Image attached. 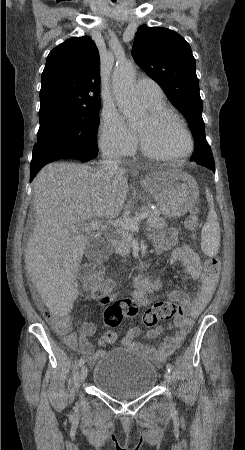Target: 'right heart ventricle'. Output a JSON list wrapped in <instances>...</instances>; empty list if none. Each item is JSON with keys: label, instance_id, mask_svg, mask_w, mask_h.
<instances>
[{"label": "right heart ventricle", "instance_id": "right-heart-ventricle-1", "mask_svg": "<svg viewBox=\"0 0 245 450\" xmlns=\"http://www.w3.org/2000/svg\"><path fill=\"white\" fill-rule=\"evenodd\" d=\"M150 108H151V109H162L163 106H162V103H159V104H157V105H155V106H151Z\"/></svg>", "mask_w": 245, "mask_h": 450}]
</instances>
